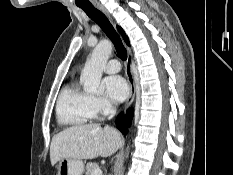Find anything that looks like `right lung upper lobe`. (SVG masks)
I'll return each instance as SVG.
<instances>
[{
    "label": "right lung upper lobe",
    "instance_id": "1",
    "mask_svg": "<svg viewBox=\"0 0 233 175\" xmlns=\"http://www.w3.org/2000/svg\"><path fill=\"white\" fill-rule=\"evenodd\" d=\"M117 28H118L119 32L121 33L123 39L127 43V45H130L129 39H128L127 35L125 34V32L123 31V29L121 27H119V26Z\"/></svg>",
    "mask_w": 233,
    "mask_h": 175
}]
</instances>
